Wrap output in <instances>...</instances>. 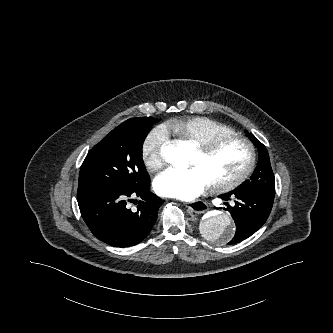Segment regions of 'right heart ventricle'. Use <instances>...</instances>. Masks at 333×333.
Here are the masks:
<instances>
[{
    "mask_svg": "<svg viewBox=\"0 0 333 333\" xmlns=\"http://www.w3.org/2000/svg\"><path fill=\"white\" fill-rule=\"evenodd\" d=\"M165 129L175 138L199 145L214 138L234 134L228 126L206 117H183L170 120Z\"/></svg>",
    "mask_w": 333,
    "mask_h": 333,
    "instance_id": "right-heart-ventricle-1",
    "label": "right heart ventricle"
}]
</instances>
